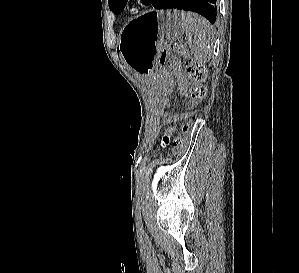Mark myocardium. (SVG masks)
Masks as SVG:
<instances>
[{"mask_svg":"<svg viewBox=\"0 0 299 273\" xmlns=\"http://www.w3.org/2000/svg\"><path fill=\"white\" fill-rule=\"evenodd\" d=\"M141 2L142 0H130L129 5L130 7H137Z\"/></svg>","mask_w":299,"mask_h":273,"instance_id":"1","label":"myocardium"}]
</instances>
